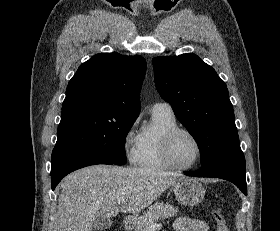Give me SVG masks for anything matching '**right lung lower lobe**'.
I'll return each mask as SVG.
<instances>
[{
    "label": "right lung lower lobe",
    "instance_id": "obj_1",
    "mask_svg": "<svg viewBox=\"0 0 280 231\" xmlns=\"http://www.w3.org/2000/svg\"><path fill=\"white\" fill-rule=\"evenodd\" d=\"M96 164H114L110 161L97 156L79 152L76 150L58 149L52 152L51 163V188L52 190L58 183L72 171L77 169L96 165ZM117 165V164H114Z\"/></svg>",
    "mask_w": 280,
    "mask_h": 231
}]
</instances>
